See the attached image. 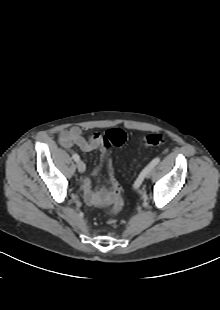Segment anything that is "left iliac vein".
<instances>
[{
	"label": "left iliac vein",
	"instance_id": "4c4485c4",
	"mask_svg": "<svg viewBox=\"0 0 220 310\" xmlns=\"http://www.w3.org/2000/svg\"><path fill=\"white\" fill-rule=\"evenodd\" d=\"M153 169V168H152ZM152 169H150L146 174H145V178H150L151 174H152Z\"/></svg>",
	"mask_w": 220,
	"mask_h": 310
}]
</instances>
